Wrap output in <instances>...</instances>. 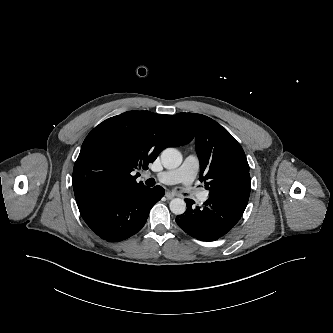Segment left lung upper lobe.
<instances>
[{"label": "left lung upper lobe", "mask_w": 333, "mask_h": 333, "mask_svg": "<svg viewBox=\"0 0 333 333\" xmlns=\"http://www.w3.org/2000/svg\"><path fill=\"white\" fill-rule=\"evenodd\" d=\"M195 135L200 161V179L207 189L222 181L249 174V165L241 145L213 119L194 113L177 114Z\"/></svg>", "instance_id": "left-lung-upper-lobe-1"}]
</instances>
